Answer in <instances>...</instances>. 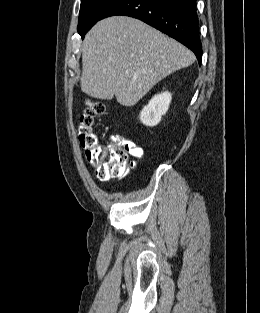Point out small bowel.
<instances>
[{"label":"small bowel","instance_id":"obj_1","mask_svg":"<svg viewBox=\"0 0 260 313\" xmlns=\"http://www.w3.org/2000/svg\"><path fill=\"white\" fill-rule=\"evenodd\" d=\"M133 154L134 157L136 158H141L143 156V151L141 148L135 147L133 145V150L131 152Z\"/></svg>","mask_w":260,"mask_h":313}]
</instances>
